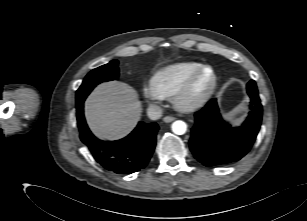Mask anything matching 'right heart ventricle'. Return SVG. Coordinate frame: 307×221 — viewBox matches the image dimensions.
I'll use <instances>...</instances> for the list:
<instances>
[{
	"mask_svg": "<svg viewBox=\"0 0 307 221\" xmlns=\"http://www.w3.org/2000/svg\"><path fill=\"white\" fill-rule=\"evenodd\" d=\"M203 66L200 62H180L163 67L150 77L147 91L156 98H169Z\"/></svg>",
	"mask_w": 307,
	"mask_h": 221,
	"instance_id": "obj_1",
	"label": "right heart ventricle"
}]
</instances>
